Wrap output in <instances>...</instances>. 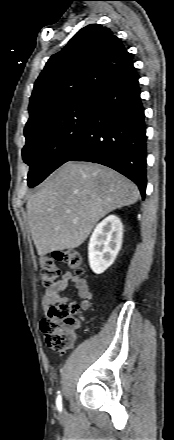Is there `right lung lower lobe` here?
<instances>
[{
	"instance_id": "right-lung-lower-lobe-1",
	"label": "right lung lower lobe",
	"mask_w": 174,
	"mask_h": 440,
	"mask_svg": "<svg viewBox=\"0 0 174 440\" xmlns=\"http://www.w3.org/2000/svg\"><path fill=\"white\" fill-rule=\"evenodd\" d=\"M86 132L67 161H89L125 175L146 194V126L134 66L93 92Z\"/></svg>"
}]
</instances>
